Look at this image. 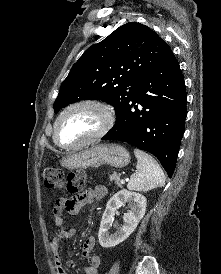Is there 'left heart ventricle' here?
<instances>
[{
	"instance_id": "1",
	"label": "left heart ventricle",
	"mask_w": 221,
	"mask_h": 274,
	"mask_svg": "<svg viewBox=\"0 0 221 274\" xmlns=\"http://www.w3.org/2000/svg\"><path fill=\"white\" fill-rule=\"evenodd\" d=\"M100 113L89 107L76 108L66 114L58 128V139L63 144H77L94 134L101 125Z\"/></svg>"
}]
</instances>
